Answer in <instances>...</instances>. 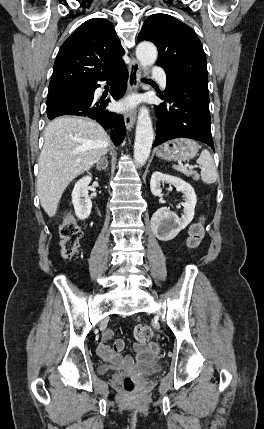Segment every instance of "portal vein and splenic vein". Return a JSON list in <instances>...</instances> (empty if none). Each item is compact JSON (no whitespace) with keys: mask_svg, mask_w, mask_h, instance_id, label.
Instances as JSON below:
<instances>
[{"mask_svg":"<svg viewBox=\"0 0 264 429\" xmlns=\"http://www.w3.org/2000/svg\"><path fill=\"white\" fill-rule=\"evenodd\" d=\"M184 166H185L186 168H189V169H194V168H196V166L189 165L188 163H186Z\"/></svg>","mask_w":264,"mask_h":429,"instance_id":"18ae733b","label":"portal vein and splenic vein"}]
</instances>
